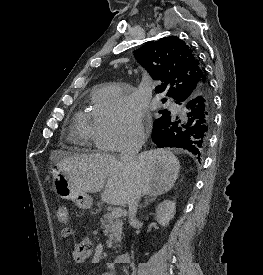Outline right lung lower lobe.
Returning a JSON list of instances; mask_svg holds the SVG:
<instances>
[{
	"label": "right lung lower lobe",
	"instance_id": "obj_1",
	"mask_svg": "<svg viewBox=\"0 0 263 275\" xmlns=\"http://www.w3.org/2000/svg\"><path fill=\"white\" fill-rule=\"evenodd\" d=\"M182 105L184 115H170L156 119L153 124L152 140L159 148L176 147L186 149L197 159L204 155L213 117L212 94L209 84L192 96L176 101Z\"/></svg>",
	"mask_w": 263,
	"mask_h": 275
}]
</instances>
